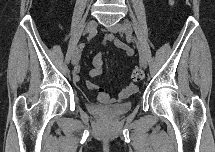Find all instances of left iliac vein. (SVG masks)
Wrapping results in <instances>:
<instances>
[{
    "label": "left iliac vein",
    "mask_w": 215,
    "mask_h": 152,
    "mask_svg": "<svg viewBox=\"0 0 215 152\" xmlns=\"http://www.w3.org/2000/svg\"><path fill=\"white\" fill-rule=\"evenodd\" d=\"M108 30L112 33H118V32L125 33L126 36L128 37V39H130L133 43H135L138 48V52H139V56H140V65L143 68L147 67V58H146L145 52H144L140 42L132 34V32L126 28V26L124 24H122V23L114 24L112 26H109Z\"/></svg>",
    "instance_id": "1"
}]
</instances>
